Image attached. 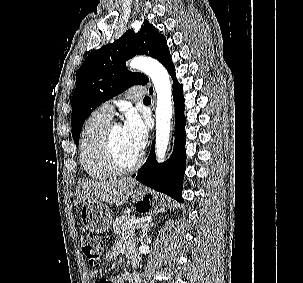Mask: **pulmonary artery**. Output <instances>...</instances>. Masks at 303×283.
<instances>
[{
  "mask_svg": "<svg viewBox=\"0 0 303 283\" xmlns=\"http://www.w3.org/2000/svg\"><path fill=\"white\" fill-rule=\"evenodd\" d=\"M146 88L143 86H133L130 87L126 93L125 97L130 100H140L146 96ZM104 115L112 118L115 106L113 103H105L100 109H99Z\"/></svg>",
  "mask_w": 303,
  "mask_h": 283,
  "instance_id": "1",
  "label": "pulmonary artery"
}]
</instances>
